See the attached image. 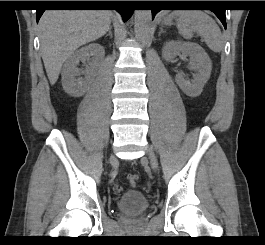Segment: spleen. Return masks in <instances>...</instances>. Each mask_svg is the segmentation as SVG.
<instances>
[{"mask_svg":"<svg viewBox=\"0 0 265 245\" xmlns=\"http://www.w3.org/2000/svg\"><path fill=\"white\" fill-rule=\"evenodd\" d=\"M172 16L178 17L177 28L186 39L193 37L196 32L201 36L207 46L214 52L224 48L221 31L216 22L202 11H174Z\"/></svg>","mask_w":265,"mask_h":245,"instance_id":"spleen-1","label":"spleen"}]
</instances>
